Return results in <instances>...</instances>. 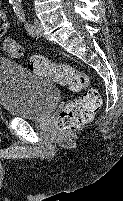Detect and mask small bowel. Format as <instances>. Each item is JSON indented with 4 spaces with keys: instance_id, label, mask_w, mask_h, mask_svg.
Listing matches in <instances>:
<instances>
[{
    "instance_id": "obj_1",
    "label": "small bowel",
    "mask_w": 123,
    "mask_h": 201,
    "mask_svg": "<svg viewBox=\"0 0 123 201\" xmlns=\"http://www.w3.org/2000/svg\"><path fill=\"white\" fill-rule=\"evenodd\" d=\"M8 28V17L4 11L0 10V38L5 36Z\"/></svg>"
}]
</instances>
